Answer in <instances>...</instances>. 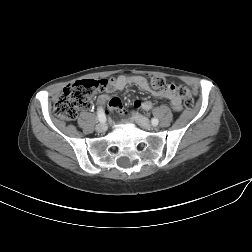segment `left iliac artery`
<instances>
[{"instance_id":"1","label":"left iliac artery","mask_w":252,"mask_h":252,"mask_svg":"<svg viewBox=\"0 0 252 252\" xmlns=\"http://www.w3.org/2000/svg\"><path fill=\"white\" fill-rule=\"evenodd\" d=\"M151 122H152L153 126H156V125H158L159 120L157 118H153Z\"/></svg>"}]
</instances>
